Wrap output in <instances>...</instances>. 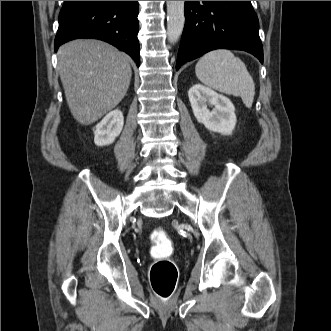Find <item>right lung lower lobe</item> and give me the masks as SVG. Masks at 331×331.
Segmentation results:
<instances>
[{"instance_id":"right-lung-lower-lobe-1","label":"right lung lower lobe","mask_w":331,"mask_h":331,"mask_svg":"<svg viewBox=\"0 0 331 331\" xmlns=\"http://www.w3.org/2000/svg\"><path fill=\"white\" fill-rule=\"evenodd\" d=\"M138 1H64L59 15L55 51L78 38L106 41L140 65Z\"/></svg>"}]
</instances>
